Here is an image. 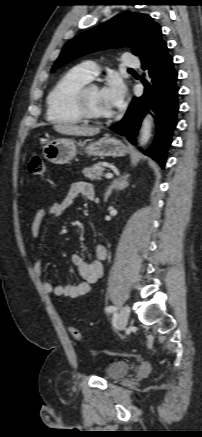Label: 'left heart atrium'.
Here are the masks:
<instances>
[{
    "label": "left heart atrium",
    "instance_id": "obj_1",
    "mask_svg": "<svg viewBox=\"0 0 202 437\" xmlns=\"http://www.w3.org/2000/svg\"><path fill=\"white\" fill-rule=\"evenodd\" d=\"M102 92L112 112L122 107L126 97V88L119 79L113 78L109 80L102 89Z\"/></svg>",
    "mask_w": 202,
    "mask_h": 437
}]
</instances>
